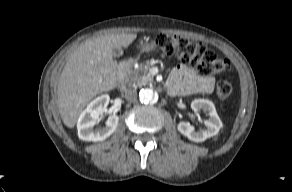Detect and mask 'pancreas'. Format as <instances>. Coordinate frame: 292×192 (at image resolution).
Returning a JSON list of instances; mask_svg holds the SVG:
<instances>
[{"label": "pancreas", "instance_id": "1", "mask_svg": "<svg viewBox=\"0 0 292 192\" xmlns=\"http://www.w3.org/2000/svg\"><path fill=\"white\" fill-rule=\"evenodd\" d=\"M150 68H151V63L149 61L139 64L138 68L130 70L128 72L129 82L136 86L152 83L153 75H151L148 72Z\"/></svg>", "mask_w": 292, "mask_h": 192}]
</instances>
